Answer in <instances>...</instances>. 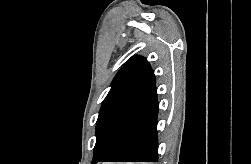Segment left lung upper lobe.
Instances as JSON below:
<instances>
[{
    "label": "left lung upper lobe",
    "mask_w": 251,
    "mask_h": 164,
    "mask_svg": "<svg viewBox=\"0 0 251 164\" xmlns=\"http://www.w3.org/2000/svg\"><path fill=\"white\" fill-rule=\"evenodd\" d=\"M155 85L154 71L142 56H133L114 77L104 99L96 123V144L93 161L96 164L110 155L121 123L133 105Z\"/></svg>",
    "instance_id": "left-lung-upper-lobe-1"
}]
</instances>
